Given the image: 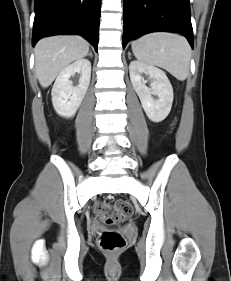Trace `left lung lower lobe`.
<instances>
[{
	"mask_svg": "<svg viewBox=\"0 0 231 281\" xmlns=\"http://www.w3.org/2000/svg\"><path fill=\"white\" fill-rule=\"evenodd\" d=\"M156 31L179 32L193 48L189 0H124L123 47L133 37Z\"/></svg>",
	"mask_w": 231,
	"mask_h": 281,
	"instance_id": "0a47b994",
	"label": "left lung lower lobe"
}]
</instances>
